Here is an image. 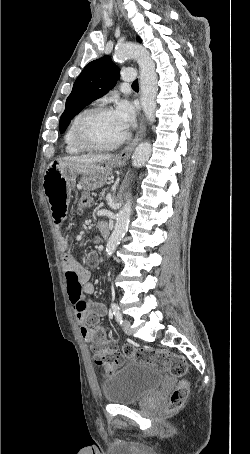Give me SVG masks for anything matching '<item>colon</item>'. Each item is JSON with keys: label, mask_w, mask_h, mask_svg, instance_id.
I'll use <instances>...</instances> for the list:
<instances>
[{"label": "colon", "mask_w": 250, "mask_h": 454, "mask_svg": "<svg viewBox=\"0 0 250 454\" xmlns=\"http://www.w3.org/2000/svg\"><path fill=\"white\" fill-rule=\"evenodd\" d=\"M92 203V198L87 193H81L78 199L77 210L82 213L87 211ZM99 319L91 320L92 328V350L95 354V362L107 373H112L115 369L122 366L125 359L132 358L136 362L149 364L155 370L168 373L180 378V382L175 387L170 396V408L176 410L180 408L189 395V384L185 379L188 372L186 360L178 354L166 350H154L151 348H134L126 346L123 353L116 351L115 346L106 338V333L98 325Z\"/></svg>", "instance_id": "colon-1"}]
</instances>
